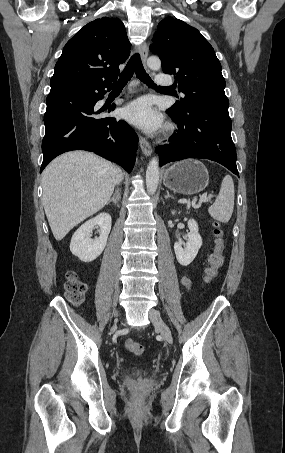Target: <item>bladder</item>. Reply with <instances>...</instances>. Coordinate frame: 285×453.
Segmentation results:
<instances>
[{
  "mask_svg": "<svg viewBox=\"0 0 285 453\" xmlns=\"http://www.w3.org/2000/svg\"><path fill=\"white\" fill-rule=\"evenodd\" d=\"M135 375L137 376H141V375H145L147 374V371L146 370H143V369H138L134 372Z\"/></svg>",
  "mask_w": 285,
  "mask_h": 453,
  "instance_id": "31cf9c89",
  "label": "bladder"
}]
</instances>
